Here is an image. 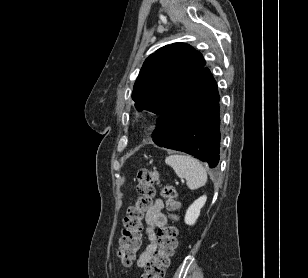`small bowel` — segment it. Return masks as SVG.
<instances>
[{"mask_svg":"<svg viewBox=\"0 0 308 278\" xmlns=\"http://www.w3.org/2000/svg\"><path fill=\"white\" fill-rule=\"evenodd\" d=\"M164 204L161 199H156L146 212L145 237L148 242L145 250L137 259V266L144 267L151 260L153 253L157 249L156 228L163 227L167 223V216L163 212Z\"/></svg>","mask_w":308,"mask_h":278,"instance_id":"obj_1","label":"small bowel"}]
</instances>
